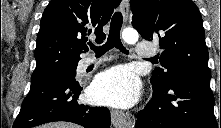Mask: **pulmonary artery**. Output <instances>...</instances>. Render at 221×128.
<instances>
[{"label": "pulmonary artery", "instance_id": "obj_1", "mask_svg": "<svg viewBox=\"0 0 221 128\" xmlns=\"http://www.w3.org/2000/svg\"><path fill=\"white\" fill-rule=\"evenodd\" d=\"M137 51L134 54V57H136L137 59L140 60H147V59H151V57H153L154 55H156V50L154 48V46L152 44L149 43H145L140 41L139 43H137ZM106 58H100V59H95V58H84L81 62V68H87L88 66L92 65V64H97V63H101L103 61H105Z\"/></svg>", "mask_w": 221, "mask_h": 128}]
</instances>
